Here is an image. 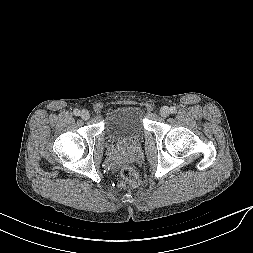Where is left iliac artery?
<instances>
[{
    "label": "left iliac artery",
    "mask_w": 253,
    "mask_h": 253,
    "mask_svg": "<svg viewBox=\"0 0 253 253\" xmlns=\"http://www.w3.org/2000/svg\"><path fill=\"white\" fill-rule=\"evenodd\" d=\"M170 110H171V113H172V114H175V113L177 112V109H176V107H174V106L171 107Z\"/></svg>",
    "instance_id": "44dca946"
}]
</instances>
